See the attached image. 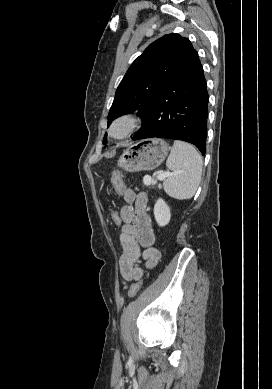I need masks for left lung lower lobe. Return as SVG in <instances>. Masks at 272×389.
<instances>
[{
	"mask_svg": "<svg viewBox=\"0 0 272 389\" xmlns=\"http://www.w3.org/2000/svg\"><path fill=\"white\" fill-rule=\"evenodd\" d=\"M207 83L198 54L162 90L132 140L152 137L182 140L204 155L208 116Z\"/></svg>",
	"mask_w": 272,
	"mask_h": 389,
	"instance_id": "left-lung-lower-lobe-1",
	"label": "left lung lower lobe"
}]
</instances>
